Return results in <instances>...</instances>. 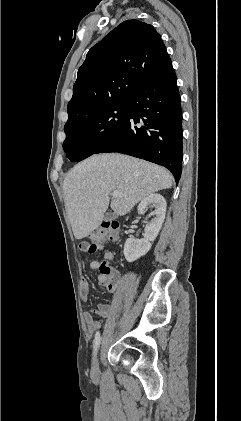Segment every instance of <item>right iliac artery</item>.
Wrapping results in <instances>:
<instances>
[{"instance_id":"right-iliac-artery-1","label":"right iliac artery","mask_w":241,"mask_h":421,"mask_svg":"<svg viewBox=\"0 0 241 421\" xmlns=\"http://www.w3.org/2000/svg\"><path fill=\"white\" fill-rule=\"evenodd\" d=\"M100 342H101V337H100V333L99 332H96V334H95V339H94V354L96 353V351H97V349H98V347H99V345H100Z\"/></svg>"}]
</instances>
